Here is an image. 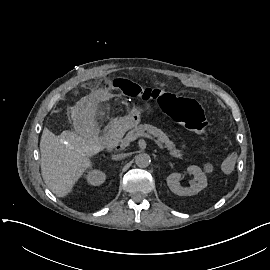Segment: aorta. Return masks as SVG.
Masks as SVG:
<instances>
[{
  "instance_id": "obj_1",
  "label": "aorta",
  "mask_w": 270,
  "mask_h": 270,
  "mask_svg": "<svg viewBox=\"0 0 270 270\" xmlns=\"http://www.w3.org/2000/svg\"><path fill=\"white\" fill-rule=\"evenodd\" d=\"M151 158L147 153H140L135 156V163L138 167L145 168L150 165Z\"/></svg>"
}]
</instances>
